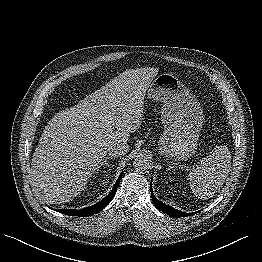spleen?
Returning <instances> with one entry per match:
<instances>
[{"instance_id": "3e777b00", "label": "spleen", "mask_w": 262, "mask_h": 262, "mask_svg": "<svg viewBox=\"0 0 262 262\" xmlns=\"http://www.w3.org/2000/svg\"><path fill=\"white\" fill-rule=\"evenodd\" d=\"M230 162V151L226 146L214 148L209 156L195 164L188 174L193 193L201 199L214 195L228 176Z\"/></svg>"}]
</instances>
